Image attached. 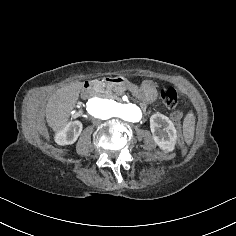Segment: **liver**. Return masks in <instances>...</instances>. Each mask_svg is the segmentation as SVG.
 Segmentation results:
<instances>
[{
    "label": "liver",
    "mask_w": 236,
    "mask_h": 236,
    "mask_svg": "<svg viewBox=\"0 0 236 236\" xmlns=\"http://www.w3.org/2000/svg\"><path fill=\"white\" fill-rule=\"evenodd\" d=\"M83 91V82L76 81L57 89L49 97L45 105V120L53 133L58 134L68 125L70 112L77 105Z\"/></svg>",
    "instance_id": "liver-1"
}]
</instances>
